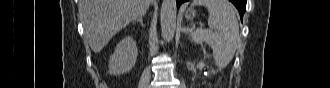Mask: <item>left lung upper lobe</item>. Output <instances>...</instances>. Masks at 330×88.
<instances>
[{
  "label": "left lung upper lobe",
  "instance_id": "5c2ea615",
  "mask_svg": "<svg viewBox=\"0 0 330 88\" xmlns=\"http://www.w3.org/2000/svg\"><path fill=\"white\" fill-rule=\"evenodd\" d=\"M244 9L246 10V6H245V4H244Z\"/></svg>",
  "mask_w": 330,
  "mask_h": 88
}]
</instances>
